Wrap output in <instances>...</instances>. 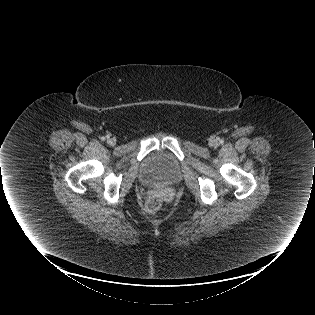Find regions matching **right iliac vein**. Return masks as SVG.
<instances>
[{"label":"right iliac vein","mask_w":315,"mask_h":315,"mask_svg":"<svg viewBox=\"0 0 315 315\" xmlns=\"http://www.w3.org/2000/svg\"><path fill=\"white\" fill-rule=\"evenodd\" d=\"M108 144L114 146L116 144V140L114 138H110L107 140Z\"/></svg>","instance_id":"right-iliac-vein-1"}]
</instances>
